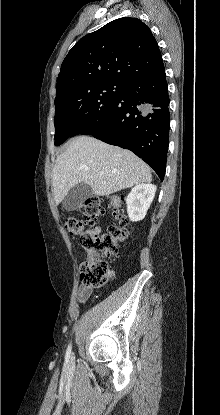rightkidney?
I'll return each instance as SVG.
<instances>
[{
    "instance_id": "ca27d5eb",
    "label": "right kidney",
    "mask_w": 220,
    "mask_h": 415,
    "mask_svg": "<svg viewBox=\"0 0 220 415\" xmlns=\"http://www.w3.org/2000/svg\"><path fill=\"white\" fill-rule=\"evenodd\" d=\"M156 192L153 184H138L132 188L126 199L127 213L131 221L142 220L152 203Z\"/></svg>"
}]
</instances>
